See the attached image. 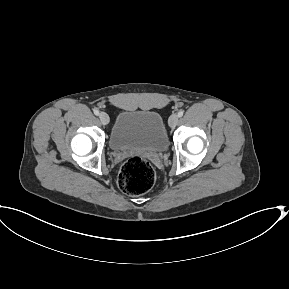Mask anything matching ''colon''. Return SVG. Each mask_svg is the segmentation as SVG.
Returning <instances> with one entry per match:
<instances>
[{
  "label": "colon",
  "mask_w": 289,
  "mask_h": 289,
  "mask_svg": "<svg viewBox=\"0 0 289 289\" xmlns=\"http://www.w3.org/2000/svg\"><path fill=\"white\" fill-rule=\"evenodd\" d=\"M155 182V171L142 157L127 159L118 176V186L126 194L137 196L148 192Z\"/></svg>",
  "instance_id": "5ec220e1"
}]
</instances>
